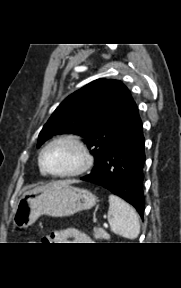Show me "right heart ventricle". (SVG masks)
I'll return each mask as SVG.
<instances>
[{"instance_id":"right-heart-ventricle-1","label":"right heart ventricle","mask_w":181,"mask_h":288,"mask_svg":"<svg viewBox=\"0 0 181 288\" xmlns=\"http://www.w3.org/2000/svg\"><path fill=\"white\" fill-rule=\"evenodd\" d=\"M39 172H40L41 175H46V174L42 171V169L40 168V166H39Z\"/></svg>"}]
</instances>
